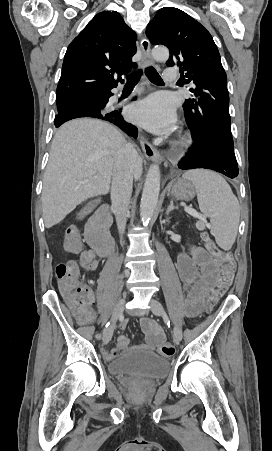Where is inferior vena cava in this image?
Segmentation results:
<instances>
[{
  "label": "inferior vena cava",
  "mask_w": 272,
  "mask_h": 451,
  "mask_svg": "<svg viewBox=\"0 0 272 451\" xmlns=\"http://www.w3.org/2000/svg\"><path fill=\"white\" fill-rule=\"evenodd\" d=\"M138 160V154L131 144H125L118 150L114 158L111 200L116 224L120 233L126 226L128 206L132 194L133 168Z\"/></svg>",
  "instance_id": "602c4592"
}]
</instances>
